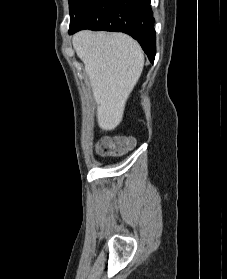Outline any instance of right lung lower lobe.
Returning a JSON list of instances; mask_svg holds the SVG:
<instances>
[{
	"mask_svg": "<svg viewBox=\"0 0 227 279\" xmlns=\"http://www.w3.org/2000/svg\"><path fill=\"white\" fill-rule=\"evenodd\" d=\"M150 0H89L69 34L82 29L124 32L136 39L151 62L156 53V35Z\"/></svg>",
	"mask_w": 227,
	"mask_h": 279,
	"instance_id": "right-lung-lower-lobe-1",
	"label": "right lung lower lobe"
}]
</instances>
